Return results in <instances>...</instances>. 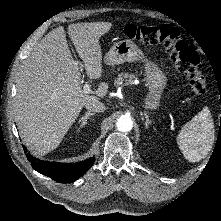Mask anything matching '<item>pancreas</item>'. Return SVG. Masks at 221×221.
<instances>
[{"label":"pancreas","instance_id":"1","mask_svg":"<svg viewBox=\"0 0 221 221\" xmlns=\"http://www.w3.org/2000/svg\"><path fill=\"white\" fill-rule=\"evenodd\" d=\"M133 78H136L135 75H129L127 73L125 74H119L117 79L114 82V85L118 86L123 83V81H131Z\"/></svg>","mask_w":221,"mask_h":221}]
</instances>
